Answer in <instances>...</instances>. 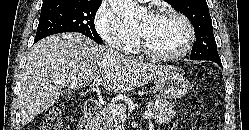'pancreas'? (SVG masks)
I'll return each instance as SVG.
<instances>
[{"label":"pancreas","instance_id":"1","mask_svg":"<svg viewBox=\"0 0 249 130\" xmlns=\"http://www.w3.org/2000/svg\"><path fill=\"white\" fill-rule=\"evenodd\" d=\"M155 99L156 103L150 102L147 105V109L152 111L151 116L158 124H166L176 114L174 106L169 104L168 101L160 98L159 96H156ZM117 106L125 112L126 106L124 104H119ZM121 127V120L110 112L109 106L103 108L101 111V116L99 118L98 129L121 130Z\"/></svg>","mask_w":249,"mask_h":130}]
</instances>
